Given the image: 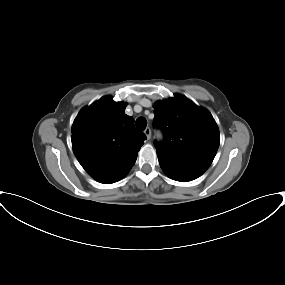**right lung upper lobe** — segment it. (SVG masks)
Instances as JSON below:
<instances>
[{
  "instance_id": "1",
  "label": "right lung upper lobe",
  "mask_w": 285,
  "mask_h": 285,
  "mask_svg": "<svg viewBox=\"0 0 285 285\" xmlns=\"http://www.w3.org/2000/svg\"><path fill=\"white\" fill-rule=\"evenodd\" d=\"M126 103L106 96L84 107L72 125V147L82 167L97 181L122 179L134 165L146 136L125 114Z\"/></svg>"
}]
</instances>
